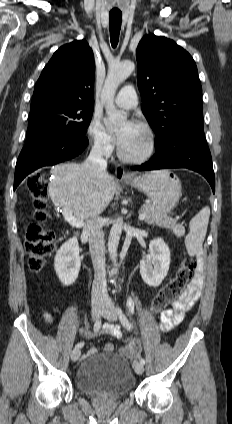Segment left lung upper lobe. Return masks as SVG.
Returning <instances> with one entry per match:
<instances>
[{"mask_svg":"<svg viewBox=\"0 0 232 424\" xmlns=\"http://www.w3.org/2000/svg\"><path fill=\"white\" fill-rule=\"evenodd\" d=\"M136 59L142 111L162 144L179 126L202 121V88L195 61L173 40L146 35Z\"/></svg>","mask_w":232,"mask_h":424,"instance_id":"1","label":"left lung upper lobe"}]
</instances>
